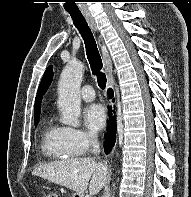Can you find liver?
<instances>
[{"mask_svg": "<svg viewBox=\"0 0 191 197\" xmlns=\"http://www.w3.org/2000/svg\"><path fill=\"white\" fill-rule=\"evenodd\" d=\"M83 196L89 186L91 195L97 194L107 183L109 169L94 158H73L40 165L32 172ZM90 181V184H89Z\"/></svg>", "mask_w": 191, "mask_h": 197, "instance_id": "6515ba94", "label": "liver"}]
</instances>
